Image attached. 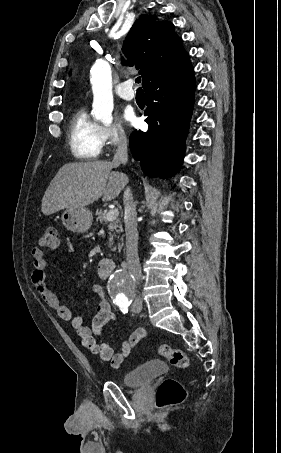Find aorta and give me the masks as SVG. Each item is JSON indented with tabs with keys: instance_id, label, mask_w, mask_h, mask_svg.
<instances>
[{
	"instance_id": "aorta-1",
	"label": "aorta",
	"mask_w": 281,
	"mask_h": 453,
	"mask_svg": "<svg viewBox=\"0 0 281 453\" xmlns=\"http://www.w3.org/2000/svg\"><path fill=\"white\" fill-rule=\"evenodd\" d=\"M91 84L93 91V113L96 120L110 124L113 120L114 108L112 94L111 67L105 60H97L91 68ZM135 280L133 276L117 270L108 281V290L114 301L125 304L133 293Z\"/></svg>"
}]
</instances>
